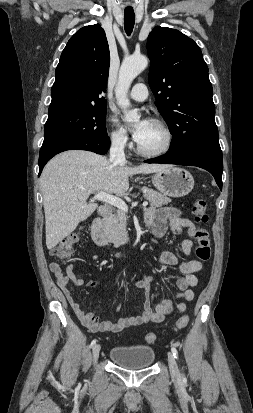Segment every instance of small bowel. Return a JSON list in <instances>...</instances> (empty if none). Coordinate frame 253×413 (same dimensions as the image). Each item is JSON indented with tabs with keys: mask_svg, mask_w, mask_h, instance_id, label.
<instances>
[{
	"mask_svg": "<svg viewBox=\"0 0 253 413\" xmlns=\"http://www.w3.org/2000/svg\"><path fill=\"white\" fill-rule=\"evenodd\" d=\"M145 222L152 228L153 233L157 237L164 236L168 227L175 236L181 234L183 229H187L190 238H192L195 233L194 223L182 216L181 212L173 207H164L161 209L150 208L146 213ZM192 247L193 243L191 239H185L180 244L181 251L187 256L191 254ZM159 261L165 265L173 266L178 263V257L173 252L165 251L161 254ZM49 268L71 308L85 327L94 333H117L130 327L162 322L173 310L184 312L186 310V304L178 300L191 301L194 299L195 293L192 288L198 284L195 273L201 270L202 264L197 260L182 262L179 266L182 276L176 281V295L164 299L155 308L151 307L149 300V289L153 277L145 275L143 279L136 281L135 287L143 294V313L136 317H122L116 322L101 321L94 311L85 312L82 309L80 303L75 299L68 287L69 283L75 286H82L84 284V280L76 275L73 264L67 266L66 273L62 271L57 262H51ZM96 285L97 283L95 282L90 284L91 287Z\"/></svg>",
	"mask_w": 253,
	"mask_h": 413,
	"instance_id": "small-bowel-1",
	"label": "small bowel"
}]
</instances>
